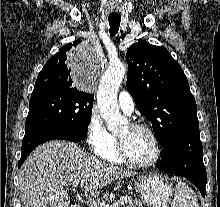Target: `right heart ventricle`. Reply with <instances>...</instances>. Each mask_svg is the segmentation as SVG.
Wrapping results in <instances>:
<instances>
[{
  "label": "right heart ventricle",
  "mask_w": 220,
  "mask_h": 207,
  "mask_svg": "<svg viewBox=\"0 0 220 207\" xmlns=\"http://www.w3.org/2000/svg\"><path fill=\"white\" fill-rule=\"evenodd\" d=\"M97 155L103 160H106L114 164L123 163V161L120 159V157L117 154L116 139L114 137H113V142L106 149L97 153Z\"/></svg>",
  "instance_id": "e07e8e85"
}]
</instances>
